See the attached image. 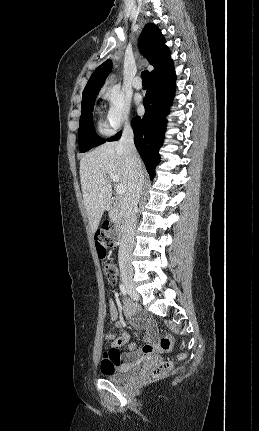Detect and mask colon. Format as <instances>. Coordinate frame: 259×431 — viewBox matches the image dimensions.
I'll use <instances>...</instances> for the list:
<instances>
[{"label":"colon","mask_w":259,"mask_h":431,"mask_svg":"<svg viewBox=\"0 0 259 431\" xmlns=\"http://www.w3.org/2000/svg\"><path fill=\"white\" fill-rule=\"evenodd\" d=\"M116 244V236L114 232V227L110 223H105L101 229H99L95 234V245L98 256L103 259L105 258L111 249ZM104 273L107 280L110 283H115L118 276V269L116 265L112 263H107L104 266ZM172 337L164 336L158 344L150 345L146 344L143 347V352L151 353L153 351L157 352H165L171 348L172 345ZM172 367L171 362H163L160 365L156 366L151 371V376L158 378L163 376L170 368Z\"/></svg>","instance_id":"obj_1"}]
</instances>
